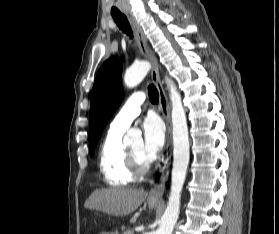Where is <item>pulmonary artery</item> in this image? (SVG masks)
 <instances>
[{
	"instance_id": "1",
	"label": "pulmonary artery",
	"mask_w": 279,
	"mask_h": 234,
	"mask_svg": "<svg viewBox=\"0 0 279 234\" xmlns=\"http://www.w3.org/2000/svg\"><path fill=\"white\" fill-rule=\"evenodd\" d=\"M144 101V93L137 92L132 94L112 120L110 129L112 131H125L131 122L140 114L141 105Z\"/></svg>"
}]
</instances>
